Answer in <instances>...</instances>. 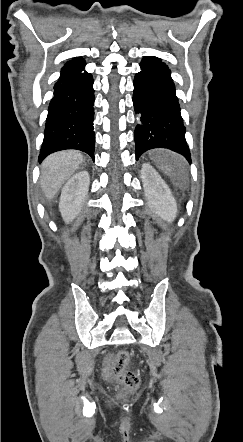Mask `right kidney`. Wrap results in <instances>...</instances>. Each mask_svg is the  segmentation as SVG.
Masks as SVG:
<instances>
[{
	"label": "right kidney",
	"mask_w": 243,
	"mask_h": 442,
	"mask_svg": "<svg viewBox=\"0 0 243 442\" xmlns=\"http://www.w3.org/2000/svg\"><path fill=\"white\" fill-rule=\"evenodd\" d=\"M90 177L87 171L73 175L62 189L59 209L65 222H71L81 211L88 195Z\"/></svg>",
	"instance_id": "1"
}]
</instances>
